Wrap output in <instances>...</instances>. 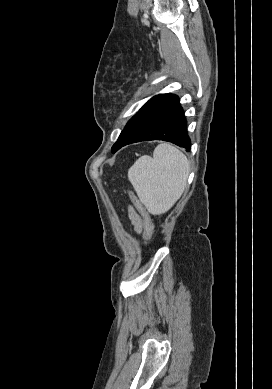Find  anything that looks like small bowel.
<instances>
[{
	"mask_svg": "<svg viewBox=\"0 0 272 389\" xmlns=\"http://www.w3.org/2000/svg\"><path fill=\"white\" fill-rule=\"evenodd\" d=\"M129 218L136 233H140L143 228V221L140 214L132 207L129 208Z\"/></svg>",
	"mask_w": 272,
	"mask_h": 389,
	"instance_id": "small-bowel-1",
	"label": "small bowel"
}]
</instances>
